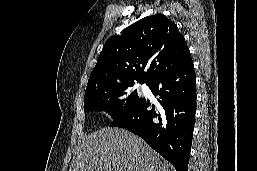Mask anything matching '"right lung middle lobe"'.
Listing matches in <instances>:
<instances>
[{"label": "right lung middle lobe", "mask_w": 257, "mask_h": 171, "mask_svg": "<svg viewBox=\"0 0 257 171\" xmlns=\"http://www.w3.org/2000/svg\"><path fill=\"white\" fill-rule=\"evenodd\" d=\"M134 84L126 82L85 92L84 110L105 111L112 119L116 118L129 110L140 98L133 89Z\"/></svg>", "instance_id": "dd1d6c3e"}]
</instances>
